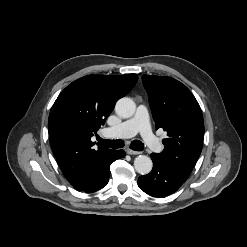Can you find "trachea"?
<instances>
[{
  "instance_id": "1",
  "label": "trachea",
  "mask_w": 247,
  "mask_h": 247,
  "mask_svg": "<svg viewBox=\"0 0 247 247\" xmlns=\"http://www.w3.org/2000/svg\"><path fill=\"white\" fill-rule=\"evenodd\" d=\"M98 141L100 144L108 148H122L124 146V142L122 140H105L98 138ZM130 148L135 151H142L144 149V144L141 141L134 140L131 142Z\"/></svg>"
}]
</instances>
